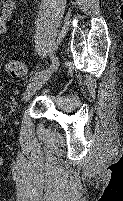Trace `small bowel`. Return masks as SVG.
Listing matches in <instances>:
<instances>
[{
	"instance_id": "small-bowel-1",
	"label": "small bowel",
	"mask_w": 123,
	"mask_h": 201,
	"mask_svg": "<svg viewBox=\"0 0 123 201\" xmlns=\"http://www.w3.org/2000/svg\"><path fill=\"white\" fill-rule=\"evenodd\" d=\"M17 8L16 0H3L0 10V35L4 34L12 20L13 12Z\"/></svg>"
}]
</instances>
